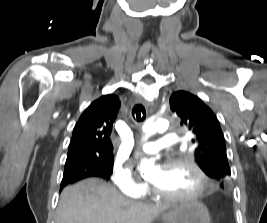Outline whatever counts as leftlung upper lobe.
<instances>
[{"label": "left lung upper lobe", "mask_w": 267, "mask_h": 223, "mask_svg": "<svg viewBox=\"0 0 267 223\" xmlns=\"http://www.w3.org/2000/svg\"><path fill=\"white\" fill-rule=\"evenodd\" d=\"M172 111L181 118L193 134L195 161L210 178L226 182L231 175L224 136L217 117L200 98L186 92L177 91L170 97Z\"/></svg>", "instance_id": "obj_1"}]
</instances>
